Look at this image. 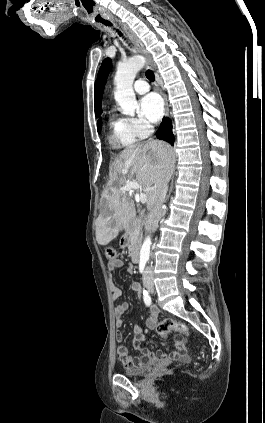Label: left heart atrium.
Here are the masks:
<instances>
[{"label":"left heart atrium","instance_id":"obj_1","mask_svg":"<svg viewBox=\"0 0 265 423\" xmlns=\"http://www.w3.org/2000/svg\"><path fill=\"white\" fill-rule=\"evenodd\" d=\"M140 113L147 121L156 123L164 113V104L160 96L150 93L140 100Z\"/></svg>","mask_w":265,"mask_h":423}]
</instances>
